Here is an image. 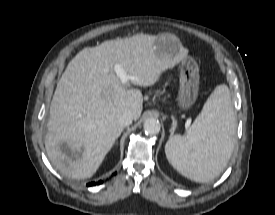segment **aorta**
<instances>
[{"mask_svg": "<svg viewBox=\"0 0 275 215\" xmlns=\"http://www.w3.org/2000/svg\"><path fill=\"white\" fill-rule=\"evenodd\" d=\"M160 128H161V125L159 121L154 118L145 120L143 124V129L145 133L149 135L158 134L160 132Z\"/></svg>", "mask_w": 275, "mask_h": 215, "instance_id": "aorta-1", "label": "aorta"}]
</instances>
